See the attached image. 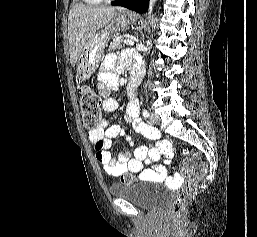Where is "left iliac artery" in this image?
<instances>
[{"instance_id": "1", "label": "left iliac artery", "mask_w": 257, "mask_h": 237, "mask_svg": "<svg viewBox=\"0 0 257 237\" xmlns=\"http://www.w3.org/2000/svg\"><path fill=\"white\" fill-rule=\"evenodd\" d=\"M142 114L144 117H149V112L146 109H143Z\"/></svg>"}]
</instances>
